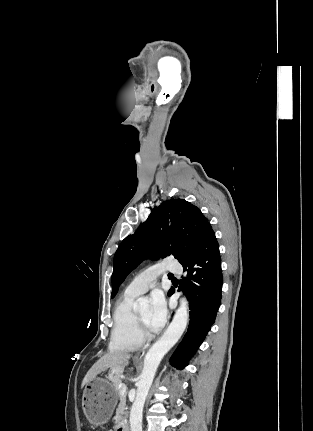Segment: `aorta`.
I'll return each mask as SVG.
<instances>
[{"mask_svg": "<svg viewBox=\"0 0 313 431\" xmlns=\"http://www.w3.org/2000/svg\"><path fill=\"white\" fill-rule=\"evenodd\" d=\"M139 308L147 305L145 298H139ZM189 320V307L185 298L180 300L172 322L162 337L147 352L141 379L138 383L135 401L130 411V430L142 431V416L145 400L152 385L156 370L164 355L178 342L186 329Z\"/></svg>", "mask_w": 313, "mask_h": 431, "instance_id": "1", "label": "aorta"}]
</instances>
